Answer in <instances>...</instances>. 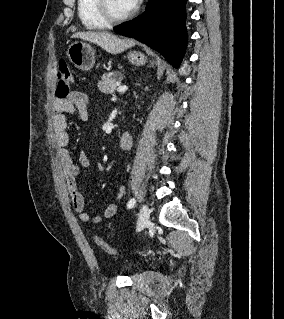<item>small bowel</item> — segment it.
<instances>
[{"instance_id":"1","label":"small bowel","mask_w":284,"mask_h":319,"mask_svg":"<svg viewBox=\"0 0 284 319\" xmlns=\"http://www.w3.org/2000/svg\"><path fill=\"white\" fill-rule=\"evenodd\" d=\"M77 114L81 120H86L88 116V96L81 91H72L65 99L56 98L53 103V134L54 142L58 148L61 166L68 184L72 206L80 220L84 223H99L104 219L113 218L118 211L116 204L106 207L102 216L91 217L85 211L84 196L78 186L77 178L80 175V167L88 169L90 167L89 157L85 152H80L78 162L80 167L74 162L68 150L69 133L67 126V115ZM125 194L124 187H120L116 192V198L122 199Z\"/></svg>"}]
</instances>
